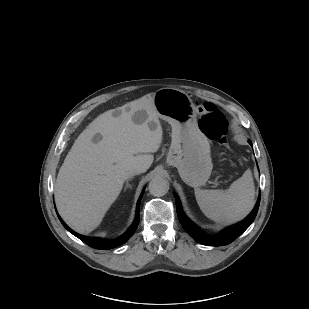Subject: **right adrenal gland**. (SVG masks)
<instances>
[{"label": "right adrenal gland", "mask_w": 309, "mask_h": 309, "mask_svg": "<svg viewBox=\"0 0 309 309\" xmlns=\"http://www.w3.org/2000/svg\"><path fill=\"white\" fill-rule=\"evenodd\" d=\"M132 179V177H130L127 181H126V186L124 188V191H126L127 188L132 189V186L129 184V181Z\"/></svg>", "instance_id": "2a0ac1e0"}]
</instances>
